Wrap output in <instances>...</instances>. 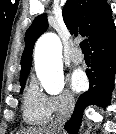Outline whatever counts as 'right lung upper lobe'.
<instances>
[{
    "mask_svg": "<svg viewBox=\"0 0 116 134\" xmlns=\"http://www.w3.org/2000/svg\"><path fill=\"white\" fill-rule=\"evenodd\" d=\"M63 19L71 34L88 37L90 45L102 40L115 29L112 10L106 0H67ZM48 28L47 15L37 16L25 34L21 57L20 81L27 79L32 64V50L38 37Z\"/></svg>",
    "mask_w": 116,
    "mask_h": 134,
    "instance_id": "cb5924a9",
    "label": "right lung upper lobe"
}]
</instances>
